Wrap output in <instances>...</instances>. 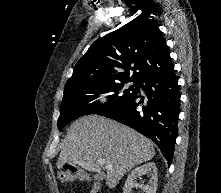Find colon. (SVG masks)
Segmentation results:
<instances>
[{"instance_id":"5ec220e1","label":"colon","mask_w":221,"mask_h":193,"mask_svg":"<svg viewBox=\"0 0 221 193\" xmlns=\"http://www.w3.org/2000/svg\"><path fill=\"white\" fill-rule=\"evenodd\" d=\"M68 171L75 173V170L72 167H69ZM91 193H99V185L98 184H94Z\"/></svg>"}]
</instances>
